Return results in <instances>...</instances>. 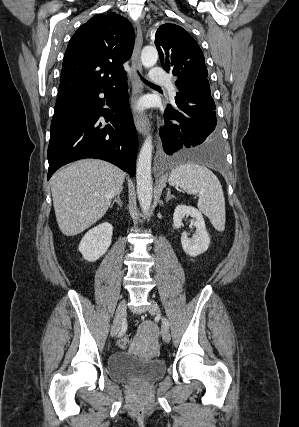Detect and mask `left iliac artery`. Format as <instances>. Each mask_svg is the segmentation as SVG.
Here are the masks:
<instances>
[{
	"mask_svg": "<svg viewBox=\"0 0 299 427\" xmlns=\"http://www.w3.org/2000/svg\"><path fill=\"white\" fill-rule=\"evenodd\" d=\"M164 324L168 327L169 326V323H168V321L166 320V319H164Z\"/></svg>",
	"mask_w": 299,
	"mask_h": 427,
	"instance_id": "obj_1",
	"label": "left iliac artery"
}]
</instances>
